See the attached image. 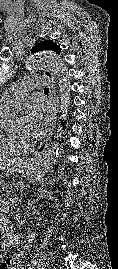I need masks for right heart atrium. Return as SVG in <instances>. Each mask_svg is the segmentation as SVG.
<instances>
[{
  "mask_svg": "<svg viewBox=\"0 0 118 269\" xmlns=\"http://www.w3.org/2000/svg\"><path fill=\"white\" fill-rule=\"evenodd\" d=\"M10 136L12 137L13 141H14L17 145H19V146H21V145H23V144L26 143L25 138L22 137L21 135H18V134H10Z\"/></svg>",
  "mask_w": 118,
  "mask_h": 269,
  "instance_id": "d8ad5b80",
  "label": "right heart atrium"
}]
</instances>
